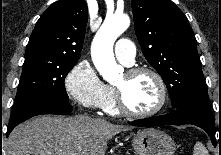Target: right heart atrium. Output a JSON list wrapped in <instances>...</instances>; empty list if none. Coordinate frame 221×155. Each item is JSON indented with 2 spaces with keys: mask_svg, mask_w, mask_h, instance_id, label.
Here are the masks:
<instances>
[{
  "mask_svg": "<svg viewBox=\"0 0 221 155\" xmlns=\"http://www.w3.org/2000/svg\"><path fill=\"white\" fill-rule=\"evenodd\" d=\"M69 96L79 105L100 109L108 97V87L87 60L75 64L65 77Z\"/></svg>",
  "mask_w": 221,
  "mask_h": 155,
  "instance_id": "obj_1",
  "label": "right heart atrium"
}]
</instances>
